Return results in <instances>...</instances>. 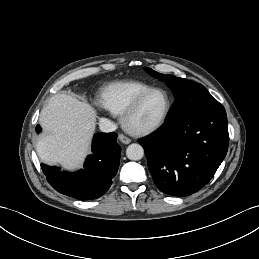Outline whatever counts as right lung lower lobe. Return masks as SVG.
Returning <instances> with one entry per match:
<instances>
[{"label":"right lung lower lobe","instance_id":"right-lung-lower-lobe-1","mask_svg":"<svg viewBox=\"0 0 259 259\" xmlns=\"http://www.w3.org/2000/svg\"><path fill=\"white\" fill-rule=\"evenodd\" d=\"M39 133L41 127L36 126ZM114 132L97 133L92 141V155L86 159L84 170L77 173L60 172L57 167L41 164L47 181L58 192L79 200L96 199L109 189L120 164L121 148Z\"/></svg>","mask_w":259,"mask_h":259}]
</instances>
